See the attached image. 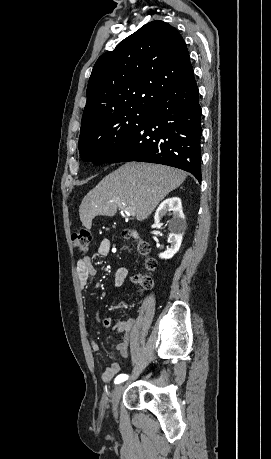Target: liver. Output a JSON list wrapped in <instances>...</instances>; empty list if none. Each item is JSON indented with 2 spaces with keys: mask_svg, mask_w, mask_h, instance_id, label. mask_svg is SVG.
<instances>
[{
  "mask_svg": "<svg viewBox=\"0 0 271 459\" xmlns=\"http://www.w3.org/2000/svg\"><path fill=\"white\" fill-rule=\"evenodd\" d=\"M187 174L176 168L128 162L105 176L79 208L82 226L91 229L95 216H115L119 204L135 208L139 222L146 220L165 196L183 184Z\"/></svg>",
  "mask_w": 271,
  "mask_h": 459,
  "instance_id": "6515ba94",
  "label": "liver"
}]
</instances>
